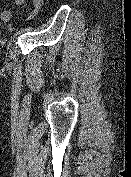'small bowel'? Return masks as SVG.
<instances>
[{"instance_id": "obj_1", "label": "small bowel", "mask_w": 131, "mask_h": 177, "mask_svg": "<svg viewBox=\"0 0 131 177\" xmlns=\"http://www.w3.org/2000/svg\"><path fill=\"white\" fill-rule=\"evenodd\" d=\"M14 1L18 7L22 9L25 7L26 0H14ZM32 1H33V9L29 12H25L24 15L25 19H31L34 16H36L40 8L42 7L39 0H32ZM12 18H13V14L10 10H4L0 13V22L3 24H7L9 30L13 29Z\"/></svg>"}]
</instances>
